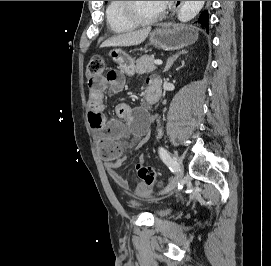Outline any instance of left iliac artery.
I'll return each mask as SVG.
<instances>
[{"label": "left iliac artery", "instance_id": "obj_1", "mask_svg": "<svg viewBox=\"0 0 271 266\" xmlns=\"http://www.w3.org/2000/svg\"><path fill=\"white\" fill-rule=\"evenodd\" d=\"M159 155L171 171H176L175 161L171 158L169 152L165 148L159 147Z\"/></svg>", "mask_w": 271, "mask_h": 266}]
</instances>
